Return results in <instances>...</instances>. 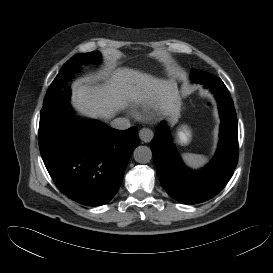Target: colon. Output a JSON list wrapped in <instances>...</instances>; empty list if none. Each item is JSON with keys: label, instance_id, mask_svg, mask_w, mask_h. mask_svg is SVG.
Listing matches in <instances>:
<instances>
[{"label": "colon", "instance_id": "colon-1", "mask_svg": "<svg viewBox=\"0 0 273 273\" xmlns=\"http://www.w3.org/2000/svg\"><path fill=\"white\" fill-rule=\"evenodd\" d=\"M207 106H210V103H207Z\"/></svg>", "mask_w": 273, "mask_h": 273}]
</instances>
